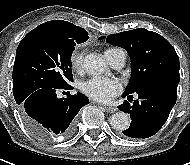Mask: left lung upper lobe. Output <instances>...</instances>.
I'll use <instances>...</instances> for the list:
<instances>
[{
    "label": "left lung upper lobe",
    "instance_id": "obj_1",
    "mask_svg": "<svg viewBox=\"0 0 190 165\" xmlns=\"http://www.w3.org/2000/svg\"><path fill=\"white\" fill-rule=\"evenodd\" d=\"M107 42L123 47L130 55L132 75L125 94L133 93L154 80L180 81L178 55L173 46L161 35L137 28L111 34L107 37Z\"/></svg>",
    "mask_w": 190,
    "mask_h": 165
}]
</instances>
